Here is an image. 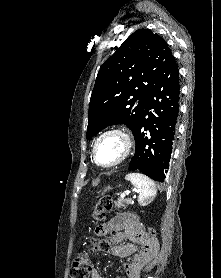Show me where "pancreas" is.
<instances>
[{
  "instance_id": "cf45deb5",
  "label": "pancreas",
  "mask_w": 221,
  "mask_h": 278,
  "mask_svg": "<svg viewBox=\"0 0 221 278\" xmlns=\"http://www.w3.org/2000/svg\"><path fill=\"white\" fill-rule=\"evenodd\" d=\"M131 201L127 200V199H118L117 202L114 203L115 207H117L118 209H126L127 206L130 204Z\"/></svg>"
}]
</instances>
